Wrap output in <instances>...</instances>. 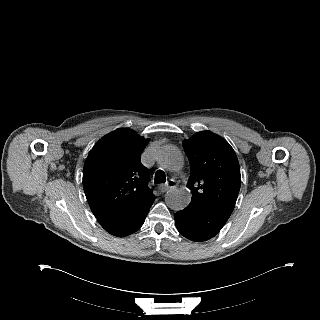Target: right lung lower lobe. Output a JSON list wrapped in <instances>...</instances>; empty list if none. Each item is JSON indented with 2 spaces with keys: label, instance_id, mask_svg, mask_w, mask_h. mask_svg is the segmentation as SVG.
Returning <instances> with one entry per match:
<instances>
[{
  "label": "right lung lower lobe",
  "instance_id": "98d812e1",
  "mask_svg": "<svg viewBox=\"0 0 320 320\" xmlns=\"http://www.w3.org/2000/svg\"><path fill=\"white\" fill-rule=\"evenodd\" d=\"M146 207L142 210L116 217L112 220L104 221L101 226L110 234L124 237L136 232L143 225L144 220L150 210Z\"/></svg>",
  "mask_w": 320,
  "mask_h": 320
}]
</instances>
